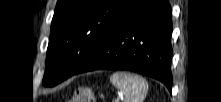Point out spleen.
<instances>
[{
	"instance_id": "3e777b00",
	"label": "spleen",
	"mask_w": 221,
	"mask_h": 102,
	"mask_svg": "<svg viewBox=\"0 0 221 102\" xmlns=\"http://www.w3.org/2000/svg\"><path fill=\"white\" fill-rule=\"evenodd\" d=\"M110 81L119 90L124 102H143L147 95L148 83L139 75L115 72Z\"/></svg>"
}]
</instances>
